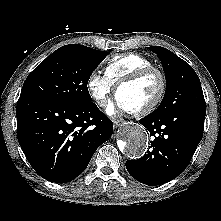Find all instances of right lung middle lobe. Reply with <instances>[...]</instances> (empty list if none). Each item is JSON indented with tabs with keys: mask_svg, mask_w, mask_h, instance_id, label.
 Segmentation results:
<instances>
[{
	"mask_svg": "<svg viewBox=\"0 0 221 221\" xmlns=\"http://www.w3.org/2000/svg\"><path fill=\"white\" fill-rule=\"evenodd\" d=\"M106 51L83 45H65L48 56L24 82L20 97L50 100L68 105L91 103L87 83Z\"/></svg>",
	"mask_w": 221,
	"mask_h": 221,
	"instance_id": "right-lung-middle-lobe-1",
	"label": "right lung middle lobe"
}]
</instances>
